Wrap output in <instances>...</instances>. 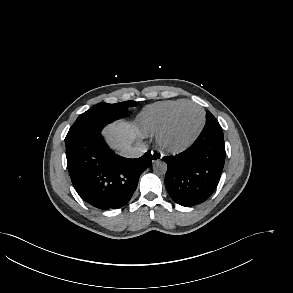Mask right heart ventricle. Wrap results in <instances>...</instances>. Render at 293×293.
Listing matches in <instances>:
<instances>
[{"label":"right heart ventricle","instance_id":"1","mask_svg":"<svg viewBox=\"0 0 293 293\" xmlns=\"http://www.w3.org/2000/svg\"><path fill=\"white\" fill-rule=\"evenodd\" d=\"M188 102L187 100H167L147 106L140 114V125L145 135L156 134L166 122L170 113L177 106Z\"/></svg>","mask_w":293,"mask_h":293}]
</instances>
